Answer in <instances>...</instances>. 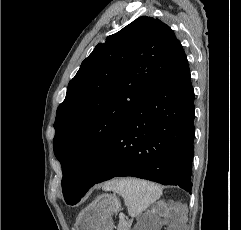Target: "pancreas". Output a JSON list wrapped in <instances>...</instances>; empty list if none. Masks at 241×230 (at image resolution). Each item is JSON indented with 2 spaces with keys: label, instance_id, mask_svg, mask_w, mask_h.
I'll return each instance as SVG.
<instances>
[{
  "label": "pancreas",
  "instance_id": "pancreas-1",
  "mask_svg": "<svg viewBox=\"0 0 241 230\" xmlns=\"http://www.w3.org/2000/svg\"><path fill=\"white\" fill-rule=\"evenodd\" d=\"M130 226H131L130 221L120 220L117 230H129Z\"/></svg>",
  "mask_w": 241,
  "mask_h": 230
}]
</instances>
